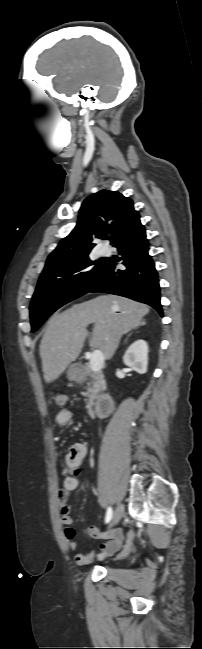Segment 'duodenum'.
Listing matches in <instances>:
<instances>
[{
    "mask_svg": "<svg viewBox=\"0 0 202 649\" xmlns=\"http://www.w3.org/2000/svg\"><path fill=\"white\" fill-rule=\"evenodd\" d=\"M113 401L108 395H101L95 403L94 412L99 417H107L112 412Z\"/></svg>",
    "mask_w": 202,
    "mask_h": 649,
    "instance_id": "410a0bca",
    "label": "duodenum"
}]
</instances>
